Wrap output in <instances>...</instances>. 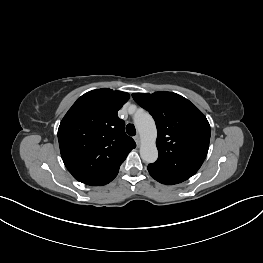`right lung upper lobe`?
<instances>
[{
  "label": "right lung upper lobe",
  "mask_w": 263,
  "mask_h": 263,
  "mask_svg": "<svg viewBox=\"0 0 263 263\" xmlns=\"http://www.w3.org/2000/svg\"><path fill=\"white\" fill-rule=\"evenodd\" d=\"M129 97L126 92L108 88L92 90L78 98L62 119L60 152L76 180L92 184L111 177L136 147L117 116Z\"/></svg>",
  "instance_id": "right-lung-upper-lobe-1"
}]
</instances>
